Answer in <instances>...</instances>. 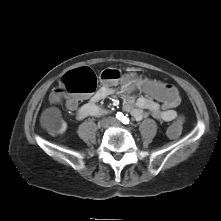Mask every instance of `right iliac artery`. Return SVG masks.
<instances>
[{"mask_svg": "<svg viewBox=\"0 0 221 221\" xmlns=\"http://www.w3.org/2000/svg\"><path fill=\"white\" fill-rule=\"evenodd\" d=\"M117 119H122L123 117V114L121 112H118L117 115H116Z\"/></svg>", "mask_w": 221, "mask_h": 221, "instance_id": "82829eb1", "label": "right iliac artery"}]
</instances>
